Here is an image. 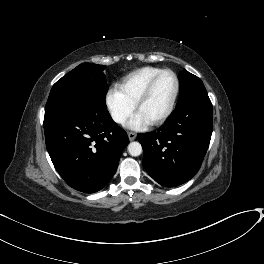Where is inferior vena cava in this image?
<instances>
[{"mask_svg":"<svg viewBox=\"0 0 264 264\" xmlns=\"http://www.w3.org/2000/svg\"><path fill=\"white\" fill-rule=\"evenodd\" d=\"M113 119L118 123H124L126 118L123 115L120 114H114Z\"/></svg>","mask_w":264,"mask_h":264,"instance_id":"602c4592","label":"inferior vena cava"}]
</instances>
